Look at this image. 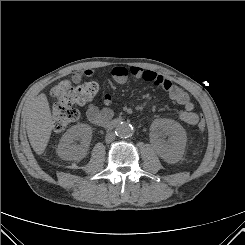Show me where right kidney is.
<instances>
[{
  "label": "right kidney",
  "instance_id": "right-kidney-1",
  "mask_svg": "<svg viewBox=\"0 0 245 245\" xmlns=\"http://www.w3.org/2000/svg\"><path fill=\"white\" fill-rule=\"evenodd\" d=\"M92 139V128L87 124H78L69 128L62 136L57 153L64 160L82 159Z\"/></svg>",
  "mask_w": 245,
  "mask_h": 245
}]
</instances>
